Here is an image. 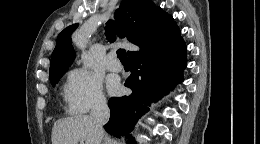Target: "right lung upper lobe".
I'll return each mask as SVG.
<instances>
[{
  "instance_id": "1",
  "label": "right lung upper lobe",
  "mask_w": 260,
  "mask_h": 144,
  "mask_svg": "<svg viewBox=\"0 0 260 144\" xmlns=\"http://www.w3.org/2000/svg\"><path fill=\"white\" fill-rule=\"evenodd\" d=\"M114 16L119 25L118 36L126 37L139 46L140 51L166 43L180 34L173 17L151 0H122ZM77 27L78 24L68 26L58 35L51 56L50 75L67 70L73 62L75 51L71 45V34ZM132 53L134 51L127 52L128 56Z\"/></svg>"
}]
</instances>
